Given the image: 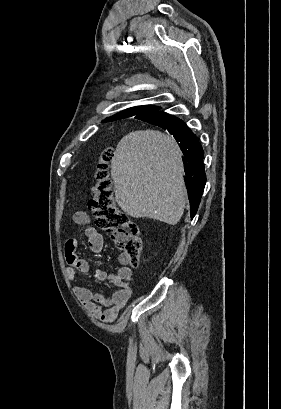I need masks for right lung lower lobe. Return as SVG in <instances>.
Wrapping results in <instances>:
<instances>
[{
  "instance_id": "98d812e1",
  "label": "right lung lower lobe",
  "mask_w": 281,
  "mask_h": 409,
  "mask_svg": "<svg viewBox=\"0 0 281 409\" xmlns=\"http://www.w3.org/2000/svg\"><path fill=\"white\" fill-rule=\"evenodd\" d=\"M170 116L159 111H149L136 115L135 118L148 121L149 119ZM170 134L174 136L179 147L181 148L185 159L184 170L187 179L188 197L190 201L191 218H193L198 210L201 196L206 183V174L203 166L204 151L201 144L197 141L195 134L187 127V125L179 120L166 128Z\"/></svg>"
}]
</instances>
